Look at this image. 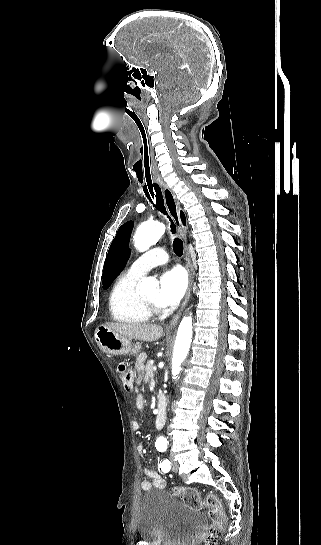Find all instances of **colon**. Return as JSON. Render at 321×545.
I'll use <instances>...</instances> for the list:
<instances>
[{
    "instance_id": "1",
    "label": "colon",
    "mask_w": 321,
    "mask_h": 545,
    "mask_svg": "<svg viewBox=\"0 0 321 545\" xmlns=\"http://www.w3.org/2000/svg\"><path fill=\"white\" fill-rule=\"evenodd\" d=\"M117 374L122 380L127 390H132V373L130 367L125 363H120L117 366ZM175 494L179 496L183 502L192 509H199L204 506L211 520L207 533L201 545H217L224 528L225 513L220 500L214 494H208L203 501L200 500L198 492L188 487H177Z\"/></svg>"
}]
</instances>
